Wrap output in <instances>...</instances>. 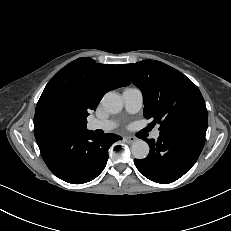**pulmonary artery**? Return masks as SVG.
Returning a JSON list of instances; mask_svg holds the SVG:
<instances>
[{
	"label": "pulmonary artery",
	"mask_w": 231,
	"mask_h": 231,
	"mask_svg": "<svg viewBox=\"0 0 231 231\" xmlns=\"http://www.w3.org/2000/svg\"><path fill=\"white\" fill-rule=\"evenodd\" d=\"M125 109L129 113H137L143 106V93L139 88L131 87L127 88L122 93ZM116 126L115 122L112 120H100L93 119L89 121L88 128L90 130H112ZM159 130H155L153 137L157 139L159 137Z\"/></svg>",
	"instance_id": "e3ab8cb5"
}]
</instances>
